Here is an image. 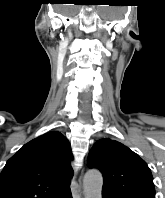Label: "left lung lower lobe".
Segmentation results:
<instances>
[{
    "label": "left lung lower lobe",
    "mask_w": 165,
    "mask_h": 198,
    "mask_svg": "<svg viewBox=\"0 0 165 198\" xmlns=\"http://www.w3.org/2000/svg\"><path fill=\"white\" fill-rule=\"evenodd\" d=\"M102 197L103 198H120L119 195H117L115 192L108 190V189H104L102 190Z\"/></svg>",
    "instance_id": "0a47b994"
}]
</instances>
